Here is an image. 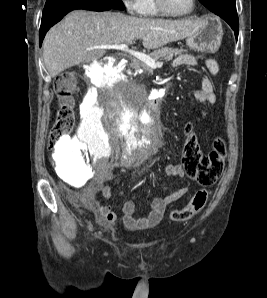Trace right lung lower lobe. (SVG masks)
<instances>
[{"label":"right lung lower lobe","mask_w":267,"mask_h":298,"mask_svg":"<svg viewBox=\"0 0 267 298\" xmlns=\"http://www.w3.org/2000/svg\"><path fill=\"white\" fill-rule=\"evenodd\" d=\"M75 9H85L100 12L114 8L109 5L100 4L94 0H68L57 5L49 12L42 15L39 33L40 46L49 28L60 21L68 12Z\"/></svg>","instance_id":"obj_1"}]
</instances>
